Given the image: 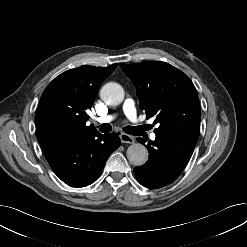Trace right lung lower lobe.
Instances as JSON below:
<instances>
[{"label":"right lung lower lobe","mask_w":247,"mask_h":247,"mask_svg":"<svg viewBox=\"0 0 247 247\" xmlns=\"http://www.w3.org/2000/svg\"><path fill=\"white\" fill-rule=\"evenodd\" d=\"M119 133L66 136L45 155L54 173L67 185L85 187L100 176L110 154L120 146Z\"/></svg>","instance_id":"98d812e1"}]
</instances>
